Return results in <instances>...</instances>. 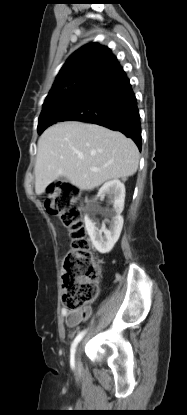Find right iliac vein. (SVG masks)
Wrapping results in <instances>:
<instances>
[{
	"label": "right iliac vein",
	"mask_w": 187,
	"mask_h": 415,
	"mask_svg": "<svg viewBox=\"0 0 187 415\" xmlns=\"http://www.w3.org/2000/svg\"><path fill=\"white\" fill-rule=\"evenodd\" d=\"M80 354H81V349L79 347L78 351H77V355H76V365L79 366L80 365Z\"/></svg>",
	"instance_id": "1"
}]
</instances>
